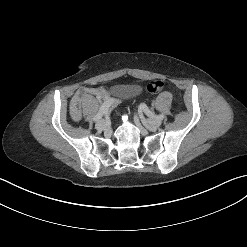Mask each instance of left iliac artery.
<instances>
[{"label":"left iliac artery","mask_w":247,"mask_h":247,"mask_svg":"<svg viewBox=\"0 0 247 247\" xmlns=\"http://www.w3.org/2000/svg\"><path fill=\"white\" fill-rule=\"evenodd\" d=\"M140 108L148 115V116H152L153 113L149 110V108L147 107L146 104L142 103L140 104ZM157 119L163 120L164 119V115L160 114L157 116Z\"/></svg>","instance_id":"44dca946"}]
</instances>
